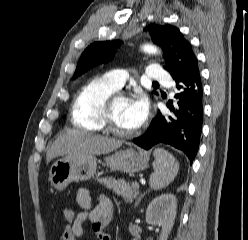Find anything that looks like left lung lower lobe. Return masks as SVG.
<instances>
[{
  "label": "left lung lower lobe",
  "instance_id": "1",
  "mask_svg": "<svg viewBox=\"0 0 248 240\" xmlns=\"http://www.w3.org/2000/svg\"><path fill=\"white\" fill-rule=\"evenodd\" d=\"M173 79L179 93L174 103H167L171 113L158 111L146 133L133 142L147 150L158 144H169L182 151L192 164L203 124V87L197 59L181 76Z\"/></svg>",
  "mask_w": 248,
  "mask_h": 240
}]
</instances>
